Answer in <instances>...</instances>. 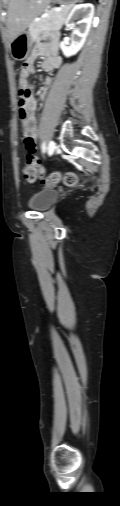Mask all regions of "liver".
<instances>
[{
    "label": "liver",
    "mask_w": 120,
    "mask_h": 506,
    "mask_svg": "<svg viewBox=\"0 0 120 506\" xmlns=\"http://www.w3.org/2000/svg\"><path fill=\"white\" fill-rule=\"evenodd\" d=\"M52 0H9L7 29L9 40H14L41 15Z\"/></svg>",
    "instance_id": "1"
}]
</instances>
